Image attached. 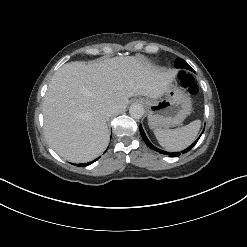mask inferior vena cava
<instances>
[{
    "instance_id": "1",
    "label": "inferior vena cava",
    "mask_w": 247,
    "mask_h": 247,
    "mask_svg": "<svg viewBox=\"0 0 247 247\" xmlns=\"http://www.w3.org/2000/svg\"><path fill=\"white\" fill-rule=\"evenodd\" d=\"M115 109L113 108H105L103 111H102V114L105 118H109L111 117L113 114H115Z\"/></svg>"
}]
</instances>
